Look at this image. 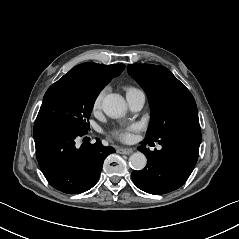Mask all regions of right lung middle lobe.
Listing matches in <instances>:
<instances>
[{
  "instance_id": "dd1d6c3e",
  "label": "right lung middle lobe",
  "mask_w": 239,
  "mask_h": 239,
  "mask_svg": "<svg viewBox=\"0 0 239 239\" xmlns=\"http://www.w3.org/2000/svg\"><path fill=\"white\" fill-rule=\"evenodd\" d=\"M102 89L98 84L78 82L67 73L45 93L36 122L57 120L78 132H87L89 121L86 120Z\"/></svg>"
}]
</instances>
